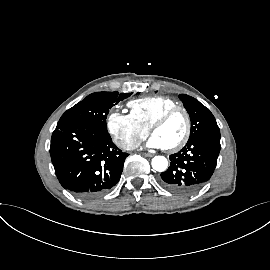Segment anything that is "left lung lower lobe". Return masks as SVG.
I'll use <instances>...</instances> for the list:
<instances>
[{
    "instance_id": "1",
    "label": "left lung lower lobe",
    "mask_w": 270,
    "mask_h": 270,
    "mask_svg": "<svg viewBox=\"0 0 270 270\" xmlns=\"http://www.w3.org/2000/svg\"><path fill=\"white\" fill-rule=\"evenodd\" d=\"M220 136H200L170 155V167L161 173L160 184L180 195H189L211 178L220 152Z\"/></svg>"
}]
</instances>
